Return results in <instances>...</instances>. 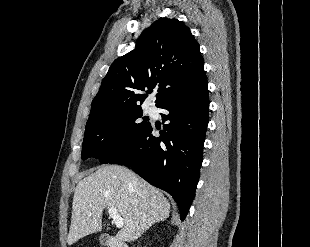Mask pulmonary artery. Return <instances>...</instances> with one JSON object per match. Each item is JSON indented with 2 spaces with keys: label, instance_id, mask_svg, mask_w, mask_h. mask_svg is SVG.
Here are the masks:
<instances>
[{
  "label": "pulmonary artery",
  "instance_id": "pulmonary-artery-1",
  "mask_svg": "<svg viewBox=\"0 0 310 247\" xmlns=\"http://www.w3.org/2000/svg\"><path fill=\"white\" fill-rule=\"evenodd\" d=\"M148 112H149V113H152V114H155V113H156V110H155L154 107H149V108H148Z\"/></svg>",
  "mask_w": 310,
  "mask_h": 247
}]
</instances>
